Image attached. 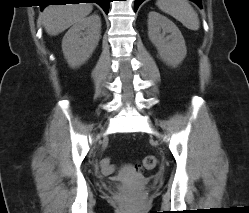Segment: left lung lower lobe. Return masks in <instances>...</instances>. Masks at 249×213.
<instances>
[{"instance_id":"1","label":"left lung lower lobe","mask_w":249,"mask_h":213,"mask_svg":"<svg viewBox=\"0 0 249 213\" xmlns=\"http://www.w3.org/2000/svg\"><path fill=\"white\" fill-rule=\"evenodd\" d=\"M144 0H135V4H134V10L136 12V10L138 9L139 5L143 2ZM193 2H195L199 7H201V0H191Z\"/></svg>"}]
</instances>
